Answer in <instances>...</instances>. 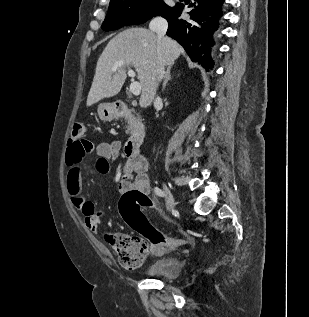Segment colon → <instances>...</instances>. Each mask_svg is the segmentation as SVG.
I'll use <instances>...</instances> for the list:
<instances>
[{"label":"colon","mask_w":309,"mask_h":317,"mask_svg":"<svg viewBox=\"0 0 309 317\" xmlns=\"http://www.w3.org/2000/svg\"><path fill=\"white\" fill-rule=\"evenodd\" d=\"M86 126L76 123L73 126L66 162L73 163L82 158L78 151L84 140ZM92 144L88 143L90 151ZM142 208H154L156 203L146 194L132 190L121 196L119 209L123 219L139 234L120 233L110 237V243L119 263L125 269H137L142 266L151 247L175 248L186 243L183 239L170 238L157 230L145 217Z\"/></svg>","instance_id":"obj_1"}]
</instances>
